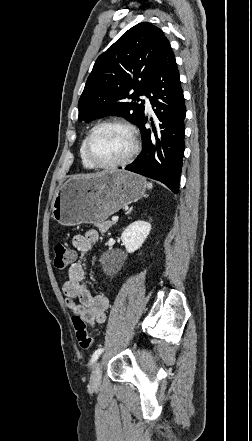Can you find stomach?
I'll list each match as a JSON object with an SVG mask.
<instances>
[{"label": "stomach", "mask_w": 252, "mask_h": 441, "mask_svg": "<svg viewBox=\"0 0 252 441\" xmlns=\"http://www.w3.org/2000/svg\"><path fill=\"white\" fill-rule=\"evenodd\" d=\"M143 177L126 171H104L68 179L55 194L54 220L64 226L105 221L145 193Z\"/></svg>", "instance_id": "1"}]
</instances>
